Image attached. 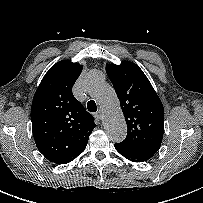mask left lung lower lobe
Instances as JSON below:
<instances>
[{
	"label": "left lung lower lobe",
	"mask_w": 203,
	"mask_h": 203,
	"mask_svg": "<svg viewBox=\"0 0 203 203\" xmlns=\"http://www.w3.org/2000/svg\"><path fill=\"white\" fill-rule=\"evenodd\" d=\"M116 150L125 158L133 162H143L149 160L153 155L139 151L134 147L127 145L123 142L115 144Z\"/></svg>",
	"instance_id": "1"
}]
</instances>
